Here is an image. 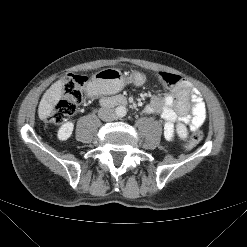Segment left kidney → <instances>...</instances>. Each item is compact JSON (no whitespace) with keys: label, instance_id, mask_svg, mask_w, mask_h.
<instances>
[{"label":"left kidney","instance_id":"1","mask_svg":"<svg viewBox=\"0 0 247 247\" xmlns=\"http://www.w3.org/2000/svg\"><path fill=\"white\" fill-rule=\"evenodd\" d=\"M176 131H177V134L178 136L181 138V139H186L187 136H188V131H187V128L184 124L182 123H178L177 126H176Z\"/></svg>","mask_w":247,"mask_h":247}]
</instances>
